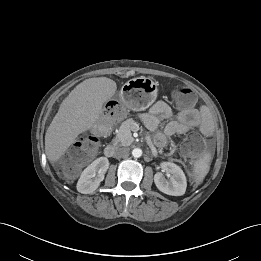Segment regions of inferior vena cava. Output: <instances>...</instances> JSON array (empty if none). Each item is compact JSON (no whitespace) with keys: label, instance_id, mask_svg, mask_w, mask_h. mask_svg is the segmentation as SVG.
<instances>
[{"label":"inferior vena cava","instance_id":"obj_1","mask_svg":"<svg viewBox=\"0 0 261 261\" xmlns=\"http://www.w3.org/2000/svg\"><path fill=\"white\" fill-rule=\"evenodd\" d=\"M128 155H129V148L127 147H118L114 152V157L117 159L127 157Z\"/></svg>","mask_w":261,"mask_h":261}]
</instances>
